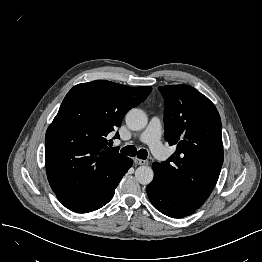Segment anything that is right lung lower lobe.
<instances>
[{
    "mask_svg": "<svg viewBox=\"0 0 262 262\" xmlns=\"http://www.w3.org/2000/svg\"><path fill=\"white\" fill-rule=\"evenodd\" d=\"M132 165V160L127 158L122 164V168L118 174L116 182L112 188L104 194L101 195H92V196H57L58 200L68 209L78 212V213H87L95 211L105 204H107L113 197L115 188L119 184L122 177L128 171Z\"/></svg>",
    "mask_w": 262,
    "mask_h": 262,
    "instance_id": "obj_1",
    "label": "right lung lower lobe"
}]
</instances>
